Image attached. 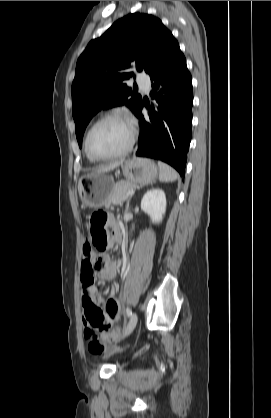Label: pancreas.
Returning <instances> with one entry per match:
<instances>
[{
	"mask_svg": "<svg viewBox=\"0 0 271 418\" xmlns=\"http://www.w3.org/2000/svg\"><path fill=\"white\" fill-rule=\"evenodd\" d=\"M136 185L128 181H118L114 187L109 200L106 203V208L111 204L121 205L125 200H129L131 195H127L130 190L135 189Z\"/></svg>",
	"mask_w": 271,
	"mask_h": 418,
	"instance_id": "cf45deb5",
	"label": "pancreas"
}]
</instances>
